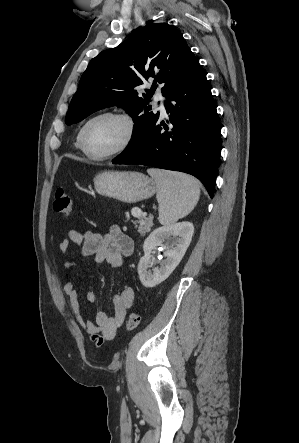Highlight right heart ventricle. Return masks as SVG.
I'll return each instance as SVG.
<instances>
[{"label": "right heart ventricle", "mask_w": 299, "mask_h": 443, "mask_svg": "<svg viewBox=\"0 0 299 443\" xmlns=\"http://www.w3.org/2000/svg\"><path fill=\"white\" fill-rule=\"evenodd\" d=\"M81 131V130H80ZM80 131L78 132L77 136H76V140H75V147L77 149H80V145H79V137H80Z\"/></svg>", "instance_id": "obj_1"}]
</instances>
